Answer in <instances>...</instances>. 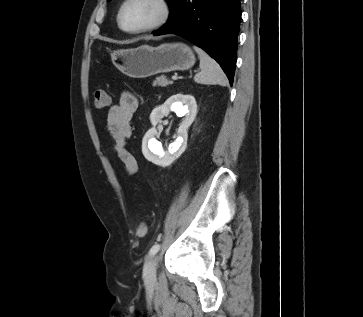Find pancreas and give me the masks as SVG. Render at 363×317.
<instances>
[{
    "label": "pancreas",
    "mask_w": 363,
    "mask_h": 317,
    "mask_svg": "<svg viewBox=\"0 0 363 317\" xmlns=\"http://www.w3.org/2000/svg\"><path fill=\"white\" fill-rule=\"evenodd\" d=\"M170 84H172V81H169L168 79H166L165 76L157 77L155 79V81H153V86L158 85V86L166 87Z\"/></svg>",
    "instance_id": "pancreas-1"
}]
</instances>
